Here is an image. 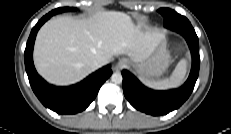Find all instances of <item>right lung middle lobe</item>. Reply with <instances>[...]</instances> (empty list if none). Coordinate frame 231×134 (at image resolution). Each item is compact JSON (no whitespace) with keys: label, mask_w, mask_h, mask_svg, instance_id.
<instances>
[{"label":"right lung middle lobe","mask_w":231,"mask_h":134,"mask_svg":"<svg viewBox=\"0 0 231 134\" xmlns=\"http://www.w3.org/2000/svg\"><path fill=\"white\" fill-rule=\"evenodd\" d=\"M70 10L73 11V10H76V8H71V7L57 8V9L52 10L50 13L54 15L60 12L70 11Z\"/></svg>","instance_id":"1"}]
</instances>
